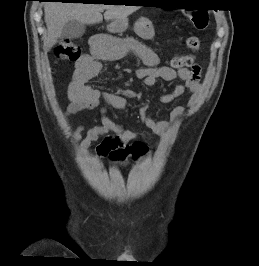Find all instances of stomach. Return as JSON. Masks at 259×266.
<instances>
[{
    "mask_svg": "<svg viewBox=\"0 0 259 266\" xmlns=\"http://www.w3.org/2000/svg\"><path fill=\"white\" fill-rule=\"evenodd\" d=\"M128 27L127 19H120L113 21L109 25L111 32L122 33ZM135 32L143 39H151L154 36V29L151 22L148 19L142 18L135 24Z\"/></svg>",
    "mask_w": 259,
    "mask_h": 266,
    "instance_id": "0dacf381",
    "label": "stomach"
}]
</instances>
